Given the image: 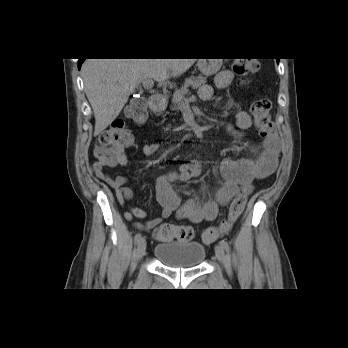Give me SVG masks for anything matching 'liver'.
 I'll return each instance as SVG.
<instances>
[{
    "label": "liver",
    "mask_w": 348,
    "mask_h": 348,
    "mask_svg": "<svg viewBox=\"0 0 348 348\" xmlns=\"http://www.w3.org/2000/svg\"><path fill=\"white\" fill-rule=\"evenodd\" d=\"M197 59H87L82 65L86 96L95 116L94 136L119 115L144 80L165 82L185 73Z\"/></svg>",
    "instance_id": "1"
}]
</instances>
